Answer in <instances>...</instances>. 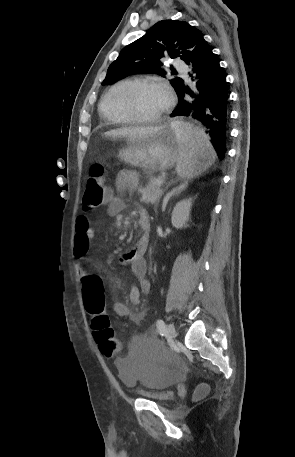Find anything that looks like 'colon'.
<instances>
[{"label":"colon","instance_id":"5ec220e1","mask_svg":"<svg viewBox=\"0 0 295 457\" xmlns=\"http://www.w3.org/2000/svg\"><path fill=\"white\" fill-rule=\"evenodd\" d=\"M111 196L105 184L104 167L100 163L91 165L83 196L82 207L85 211L94 210ZM84 302L91 318L92 329L100 350L113 361L121 360V345L116 344L110 320L104 307L102 278L90 277L83 285Z\"/></svg>","mask_w":295,"mask_h":457}]
</instances>
